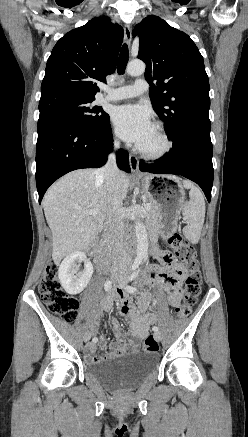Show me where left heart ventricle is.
Listing matches in <instances>:
<instances>
[{
  "label": "left heart ventricle",
  "mask_w": 248,
  "mask_h": 437,
  "mask_svg": "<svg viewBox=\"0 0 248 437\" xmlns=\"http://www.w3.org/2000/svg\"><path fill=\"white\" fill-rule=\"evenodd\" d=\"M139 146L146 150H158L161 148L162 142L154 127L147 138L139 144Z\"/></svg>",
  "instance_id": "b2bd125f"
}]
</instances>
